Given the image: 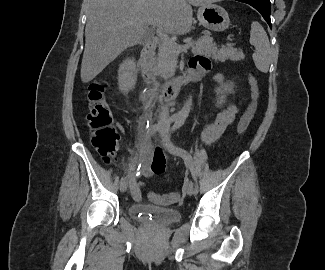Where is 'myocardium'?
Masks as SVG:
<instances>
[{
    "label": "myocardium",
    "instance_id": "f54148a6",
    "mask_svg": "<svg viewBox=\"0 0 325 270\" xmlns=\"http://www.w3.org/2000/svg\"><path fill=\"white\" fill-rule=\"evenodd\" d=\"M212 1H222V0H212Z\"/></svg>",
    "mask_w": 325,
    "mask_h": 270
}]
</instances>
